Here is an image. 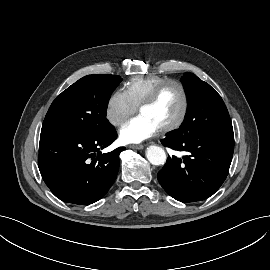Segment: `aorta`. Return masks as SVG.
Wrapping results in <instances>:
<instances>
[{
	"label": "aorta",
	"mask_w": 270,
	"mask_h": 270,
	"mask_svg": "<svg viewBox=\"0 0 270 270\" xmlns=\"http://www.w3.org/2000/svg\"><path fill=\"white\" fill-rule=\"evenodd\" d=\"M146 157L153 165H163L167 159L164 149L156 145H150L147 147Z\"/></svg>",
	"instance_id": "aorta-1"
}]
</instances>
